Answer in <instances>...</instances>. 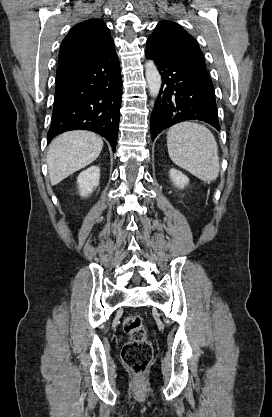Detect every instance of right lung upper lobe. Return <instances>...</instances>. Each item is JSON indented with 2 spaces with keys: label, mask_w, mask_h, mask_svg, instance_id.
<instances>
[{
  "label": "right lung upper lobe",
  "mask_w": 272,
  "mask_h": 417,
  "mask_svg": "<svg viewBox=\"0 0 272 417\" xmlns=\"http://www.w3.org/2000/svg\"><path fill=\"white\" fill-rule=\"evenodd\" d=\"M112 43L110 31L103 21L91 19L78 23L62 41L59 65L90 61Z\"/></svg>",
  "instance_id": "obj_1"
}]
</instances>
